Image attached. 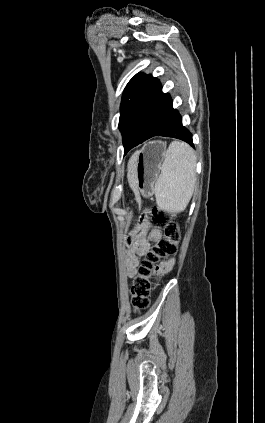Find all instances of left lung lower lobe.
<instances>
[{
  "label": "left lung lower lobe",
  "instance_id": "obj_1",
  "mask_svg": "<svg viewBox=\"0 0 265 423\" xmlns=\"http://www.w3.org/2000/svg\"><path fill=\"white\" fill-rule=\"evenodd\" d=\"M158 135L181 139L194 146L192 134L182 125L181 116L173 109L170 95L162 92L158 79L147 75L128 114L124 152Z\"/></svg>",
  "mask_w": 265,
  "mask_h": 423
}]
</instances>
